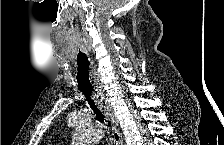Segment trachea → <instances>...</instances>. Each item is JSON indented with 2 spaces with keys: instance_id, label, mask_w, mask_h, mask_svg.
<instances>
[{
  "instance_id": "trachea-1",
  "label": "trachea",
  "mask_w": 224,
  "mask_h": 145,
  "mask_svg": "<svg viewBox=\"0 0 224 145\" xmlns=\"http://www.w3.org/2000/svg\"><path fill=\"white\" fill-rule=\"evenodd\" d=\"M79 57H80V59H79ZM77 64H78L77 80L80 84H82L79 87V89L86 97L90 107L93 109L94 113L96 114L97 119L100 122H103L104 115L100 111V109L94 99L95 91L92 87V83H91V79H90L89 63H88L86 56L80 53V50H79V54H78Z\"/></svg>"
}]
</instances>
